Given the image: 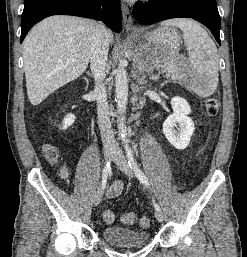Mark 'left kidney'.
<instances>
[{"label": "left kidney", "mask_w": 247, "mask_h": 257, "mask_svg": "<svg viewBox=\"0 0 247 257\" xmlns=\"http://www.w3.org/2000/svg\"><path fill=\"white\" fill-rule=\"evenodd\" d=\"M173 114L163 123V133L167 140L178 150H184L190 142L194 131V122L188 116L191 108L188 102L181 97L171 100ZM179 126L178 132L175 130Z\"/></svg>", "instance_id": "obj_1"}]
</instances>
